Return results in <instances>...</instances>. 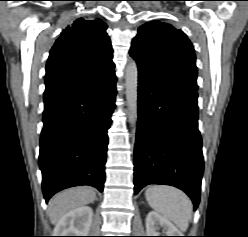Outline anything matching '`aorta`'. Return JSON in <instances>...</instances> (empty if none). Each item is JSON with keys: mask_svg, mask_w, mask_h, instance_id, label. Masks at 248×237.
Masks as SVG:
<instances>
[{"mask_svg": "<svg viewBox=\"0 0 248 237\" xmlns=\"http://www.w3.org/2000/svg\"><path fill=\"white\" fill-rule=\"evenodd\" d=\"M125 88L129 122L134 126L137 122L138 69L136 62L133 60L126 66Z\"/></svg>", "mask_w": 248, "mask_h": 237, "instance_id": "762f6f07", "label": "aorta"}]
</instances>
